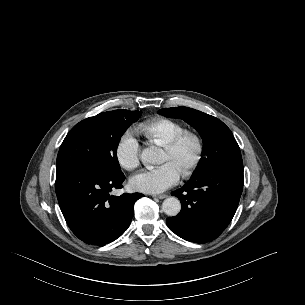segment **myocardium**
Instances as JSON below:
<instances>
[{
	"label": "myocardium",
	"mask_w": 305,
	"mask_h": 305,
	"mask_svg": "<svg viewBox=\"0 0 305 305\" xmlns=\"http://www.w3.org/2000/svg\"><path fill=\"white\" fill-rule=\"evenodd\" d=\"M188 139H191L194 141L195 146H196V155L191 163V165L182 172L184 176H190L193 174L198 167L200 166L203 157H204V143L201 138V136L194 132V131H189L186 130L176 137H174L171 141H169L167 144L164 145V149L169 151V152H174L179 149V147Z\"/></svg>",
	"instance_id": "myocardium-1"
}]
</instances>
